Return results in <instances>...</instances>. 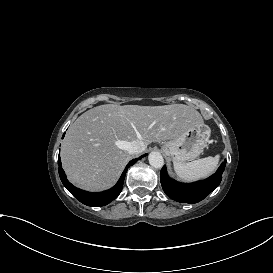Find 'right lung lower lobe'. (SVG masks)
I'll use <instances>...</instances> for the list:
<instances>
[{
  "label": "right lung lower lobe",
  "instance_id": "right-lung-lower-lobe-1",
  "mask_svg": "<svg viewBox=\"0 0 273 273\" xmlns=\"http://www.w3.org/2000/svg\"><path fill=\"white\" fill-rule=\"evenodd\" d=\"M64 136V135H63ZM63 138V137H62ZM146 156L143 155L137 159L131 160L128 165L126 166L123 174L121 175L119 181L117 182V184L112 187L111 189L107 190V191H103L100 193H90V192H86L83 190H80L76 187H74L71 183H69V181L66 178L65 172L61 167V159L60 156L58 157V171H59V176L60 179L63 183V185L66 187V189L80 202H82L83 204L87 205V206H93V207H97V206H105L108 203H110L112 200H114L122 191L123 188V183H124V178L127 172V169L133 165L134 163H136L138 160H140L142 157Z\"/></svg>",
  "mask_w": 273,
  "mask_h": 273
}]
</instances>
